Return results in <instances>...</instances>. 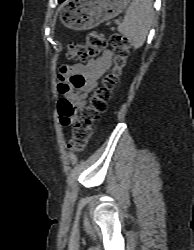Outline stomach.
Instances as JSON below:
<instances>
[{
    "label": "stomach",
    "instance_id": "obj_1",
    "mask_svg": "<svg viewBox=\"0 0 194 250\" xmlns=\"http://www.w3.org/2000/svg\"><path fill=\"white\" fill-rule=\"evenodd\" d=\"M130 0H66L62 23L74 30L93 28L122 13Z\"/></svg>",
    "mask_w": 194,
    "mask_h": 250
}]
</instances>
